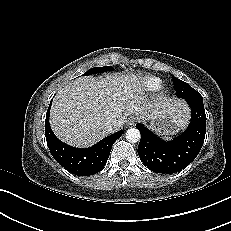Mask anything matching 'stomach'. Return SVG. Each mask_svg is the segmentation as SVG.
<instances>
[{"instance_id": "obj_1", "label": "stomach", "mask_w": 231, "mask_h": 231, "mask_svg": "<svg viewBox=\"0 0 231 231\" xmlns=\"http://www.w3.org/2000/svg\"><path fill=\"white\" fill-rule=\"evenodd\" d=\"M151 128L158 134H174L179 125L175 114L171 111L161 112L151 119Z\"/></svg>"}]
</instances>
